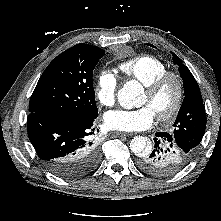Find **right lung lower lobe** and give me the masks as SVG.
<instances>
[{
    "label": "right lung lower lobe",
    "mask_w": 221,
    "mask_h": 221,
    "mask_svg": "<svg viewBox=\"0 0 221 221\" xmlns=\"http://www.w3.org/2000/svg\"><path fill=\"white\" fill-rule=\"evenodd\" d=\"M97 116L98 113L92 116L29 114V139L49 171L73 179L96 167L100 154L90 137L95 132Z\"/></svg>",
    "instance_id": "1"
}]
</instances>
